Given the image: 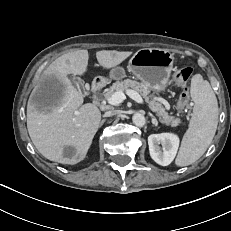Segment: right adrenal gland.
I'll use <instances>...</instances> for the list:
<instances>
[{"instance_id":"2a0ac1e0","label":"right adrenal gland","mask_w":231,"mask_h":231,"mask_svg":"<svg viewBox=\"0 0 231 231\" xmlns=\"http://www.w3.org/2000/svg\"><path fill=\"white\" fill-rule=\"evenodd\" d=\"M105 119L101 120L99 127H101L105 123Z\"/></svg>"}]
</instances>
